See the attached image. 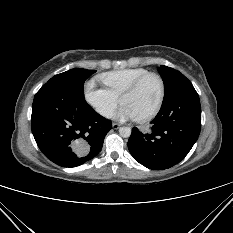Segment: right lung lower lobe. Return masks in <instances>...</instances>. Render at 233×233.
Here are the masks:
<instances>
[{"label":"right lung lower lobe","instance_id":"98d812e1","mask_svg":"<svg viewBox=\"0 0 233 233\" xmlns=\"http://www.w3.org/2000/svg\"><path fill=\"white\" fill-rule=\"evenodd\" d=\"M32 133L42 153L62 167H76L101 150L112 123L96 113L84 94L44 84L32 105Z\"/></svg>","mask_w":233,"mask_h":233}]
</instances>
